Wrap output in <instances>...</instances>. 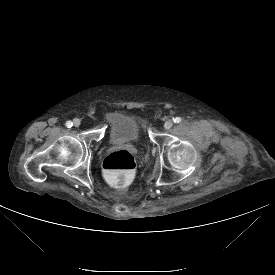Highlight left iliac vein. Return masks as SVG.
Returning <instances> with one entry per match:
<instances>
[{"label": "left iliac vein", "mask_w": 275, "mask_h": 275, "mask_svg": "<svg viewBox=\"0 0 275 275\" xmlns=\"http://www.w3.org/2000/svg\"><path fill=\"white\" fill-rule=\"evenodd\" d=\"M173 126V121L172 120H167L165 123H164V128L165 129H170L171 127Z\"/></svg>", "instance_id": "4c4485c4"}]
</instances>
